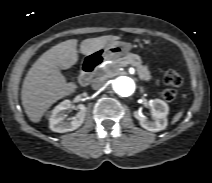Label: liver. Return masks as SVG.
<instances>
[{
	"instance_id": "6515ba94",
	"label": "liver",
	"mask_w": 212,
	"mask_h": 183,
	"mask_svg": "<svg viewBox=\"0 0 212 183\" xmlns=\"http://www.w3.org/2000/svg\"><path fill=\"white\" fill-rule=\"evenodd\" d=\"M119 38L107 35L85 39L80 44V52L86 56L91 55ZM77 43L78 40L70 39L53 46L29 69L23 81L21 100L32 122H39L52 104L77 89V85L67 83L60 72V69H69L77 63Z\"/></svg>"
}]
</instances>
